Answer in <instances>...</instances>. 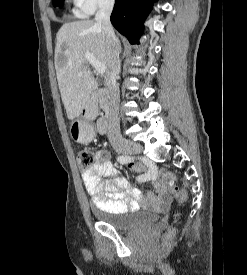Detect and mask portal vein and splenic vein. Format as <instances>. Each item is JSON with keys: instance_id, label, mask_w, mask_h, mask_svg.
<instances>
[{"instance_id": "obj_1", "label": "portal vein and splenic vein", "mask_w": 247, "mask_h": 275, "mask_svg": "<svg viewBox=\"0 0 247 275\" xmlns=\"http://www.w3.org/2000/svg\"><path fill=\"white\" fill-rule=\"evenodd\" d=\"M85 59L87 60V62L89 64L92 65V67H94L95 71L97 74L103 75L106 71V66L104 63L96 60V58L94 57L93 54L86 52L84 54Z\"/></svg>"}]
</instances>
